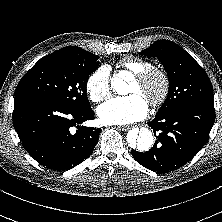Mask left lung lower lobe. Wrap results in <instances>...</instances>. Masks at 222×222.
I'll use <instances>...</instances> for the list:
<instances>
[{"mask_svg":"<svg viewBox=\"0 0 222 222\" xmlns=\"http://www.w3.org/2000/svg\"><path fill=\"white\" fill-rule=\"evenodd\" d=\"M214 122V103L208 102L187 103L156 114L148 125L157 140L149 151L132 150V156L139 164L157 173L177 169L206 144Z\"/></svg>","mask_w":222,"mask_h":222,"instance_id":"left-lung-lower-lobe-1","label":"left lung lower lobe"}]
</instances>
